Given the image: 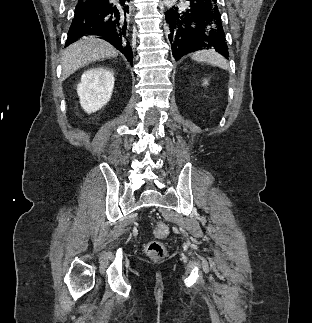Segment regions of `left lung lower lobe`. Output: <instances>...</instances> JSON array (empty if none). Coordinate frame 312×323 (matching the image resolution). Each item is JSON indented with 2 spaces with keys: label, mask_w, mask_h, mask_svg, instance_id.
Listing matches in <instances>:
<instances>
[{
  "label": "left lung lower lobe",
  "mask_w": 312,
  "mask_h": 323,
  "mask_svg": "<svg viewBox=\"0 0 312 323\" xmlns=\"http://www.w3.org/2000/svg\"><path fill=\"white\" fill-rule=\"evenodd\" d=\"M185 8L166 12L168 39L176 60L205 48H214L228 58L218 0H186Z\"/></svg>",
  "instance_id": "1"
}]
</instances>
